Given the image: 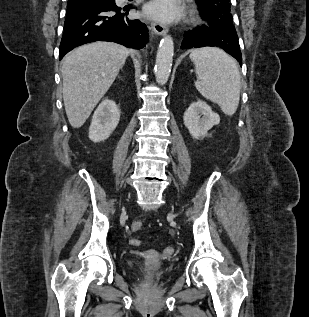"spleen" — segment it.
<instances>
[{
    "instance_id": "spleen-1",
    "label": "spleen",
    "mask_w": 309,
    "mask_h": 317,
    "mask_svg": "<svg viewBox=\"0 0 309 317\" xmlns=\"http://www.w3.org/2000/svg\"><path fill=\"white\" fill-rule=\"evenodd\" d=\"M190 59L195 65V87L206 99L217 103L232 116L239 105L241 77L236 62L214 47L194 49Z\"/></svg>"
}]
</instances>
